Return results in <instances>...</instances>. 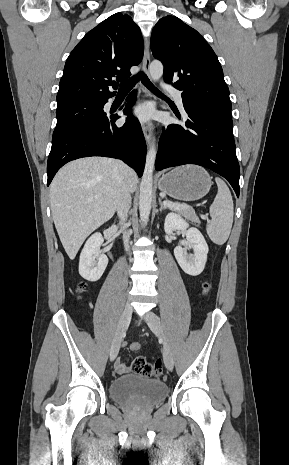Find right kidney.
I'll return each instance as SVG.
<instances>
[{
	"label": "right kidney",
	"instance_id": "obj_1",
	"mask_svg": "<svg viewBox=\"0 0 289 465\" xmlns=\"http://www.w3.org/2000/svg\"><path fill=\"white\" fill-rule=\"evenodd\" d=\"M103 242L102 235L99 232L94 233L86 241L80 254L79 274L88 281H98L107 267L108 258L100 252Z\"/></svg>",
	"mask_w": 289,
	"mask_h": 465
}]
</instances>
